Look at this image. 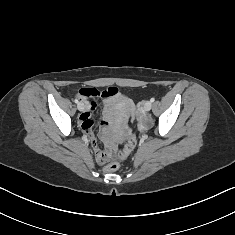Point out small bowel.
<instances>
[{
  "instance_id": "obj_1",
  "label": "small bowel",
  "mask_w": 235,
  "mask_h": 235,
  "mask_svg": "<svg viewBox=\"0 0 235 235\" xmlns=\"http://www.w3.org/2000/svg\"><path fill=\"white\" fill-rule=\"evenodd\" d=\"M90 90L98 91L96 88H83L79 91V98L83 101L84 110L79 117L81 127L88 134L92 144L95 143L93 130L95 123L92 120V111L97 107L96 101H88V98H104L103 111L99 118L98 125L102 132L115 130L119 127V123L130 117L132 111V101L125 94L114 90L113 95L87 96L86 93Z\"/></svg>"
}]
</instances>
